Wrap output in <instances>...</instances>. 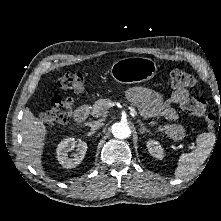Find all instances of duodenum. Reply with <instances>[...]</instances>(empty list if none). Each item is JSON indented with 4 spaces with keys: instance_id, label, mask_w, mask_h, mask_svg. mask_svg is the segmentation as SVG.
Wrapping results in <instances>:
<instances>
[{
    "instance_id": "1",
    "label": "duodenum",
    "mask_w": 221,
    "mask_h": 221,
    "mask_svg": "<svg viewBox=\"0 0 221 221\" xmlns=\"http://www.w3.org/2000/svg\"><path fill=\"white\" fill-rule=\"evenodd\" d=\"M89 114H90L89 105L83 104L76 109L75 114H74V120L77 123L84 122L89 117Z\"/></svg>"
}]
</instances>
